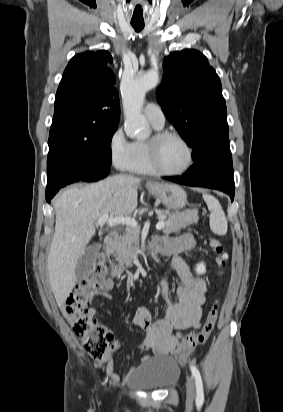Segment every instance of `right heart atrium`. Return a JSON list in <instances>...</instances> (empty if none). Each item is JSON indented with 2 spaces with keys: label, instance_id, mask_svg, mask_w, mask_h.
<instances>
[{
  "label": "right heart atrium",
  "instance_id": "1",
  "mask_svg": "<svg viewBox=\"0 0 283 412\" xmlns=\"http://www.w3.org/2000/svg\"><path fill=\"white\" fill-rule=\"evenodd\" d=\"M108 150L112 164L119 170H127L132 155V143L121 127L116 128L110 135Z\"/></svg>",
  "mask_w": 283,
  "mask_h": 412
}]
</instances>
